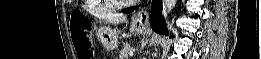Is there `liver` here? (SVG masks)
Here are the masks:
<instances>
[{
	"instance_id": "1",
	"label": "liver",
	"mask_w": 261,
	"mask_h": 59,
	"mask_svg": "<svg viewBox=\"0 0 261 59\" xmlns=\"http://www.w3.org/2000/svg\"><path fill=\"white\" fill-rule=\"evenodd\" d=\"M96 16L99 19L104 20L106 23L120 24L127 20L126 15L112 14V13H97Z\"/></svg>"
}]
</instances>
